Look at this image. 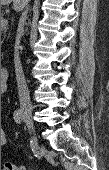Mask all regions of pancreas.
Wrapping results in <instances>:
<instances>
[{
    "instance_id": "pancreas-1",
    "label": "pancreas",
    "mask_w": 109,
    "mask_h": 170,
    "mask_svg": "<svg viewBox=\"0 0 109 170\" xmlns=\"http://www.w3.org/2000/svg\"><path fill=\"white\" fill-rule=\"evenodd\" d=\"M2 16H3V14L1 13V19H3Z\"/></svg>"
}]
</instances>
